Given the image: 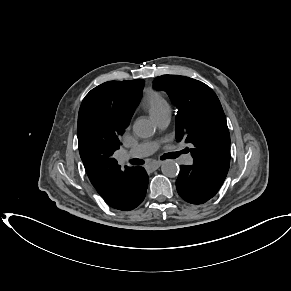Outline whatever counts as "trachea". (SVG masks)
<instances>
[{
  "label": "trachea",
  "mask_w": 291,
  "mask_h": 291,
  "mask_svg": "<svg viewBox=\"0 0 291 291\" xmlns=\"http://www.w3.org/2000/svg\"><path fill=\"white\" fill-rule=\"evenodd\" d=\"M180 153L181 152H172V153L169 154L168 158L175 159V158H177L179 156ZM130 163L133 164V165H142L144 163V161L141 160V159H133V160H131Z\"/></svg>",
  "instance_id": "trachea-1"
}]
</instances>
